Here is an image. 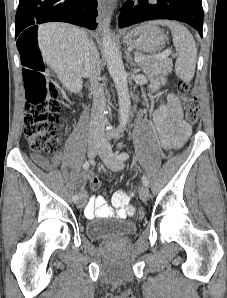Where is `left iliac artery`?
Returning a JSON list of instances; mask_svg holds the SVG:
<instances>
[{"instance_id": "44dca946", "label": "left iliac artery", "mask_w": 227, "mask_h": 298, "mask_svg": "<svg viewBox=\"0 0 227 298\" xmlns=\"http://www.w3.org/2000/svg\"><path fill=\"white\" fill-rule=\"evenodd\" d=\"M117 158L121 161H125L129 158V155L125 152H122V153L118 154ZM142 182H143L144 186H146V187L149 186V181H148L146 175H143Z\"/></svg>"}]
</instances>
